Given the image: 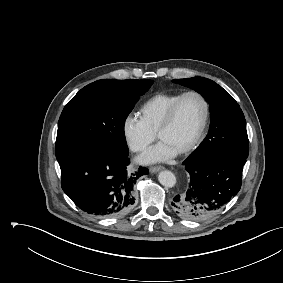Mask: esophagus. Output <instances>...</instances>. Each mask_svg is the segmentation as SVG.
<instances>
[{
    "mask_svg": "<svg viewBox=\"0 0 283 283\" xmlns=\"http://www.w3.org/2000/svg\"><path fill=\"white\" fill-rule=\"evenodd\" d=\"M163 169H164L163 166H152V167H150V172L151 173H157V172H159Z\"/></svg>",
    "mask_w": 283,
    "mask_h": 283,
    "instance_id": "1",
    "label": "esophagus"
}]
</instances>
